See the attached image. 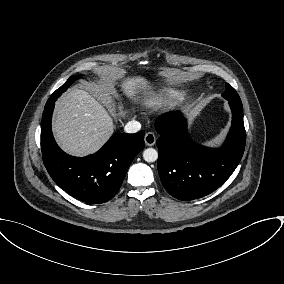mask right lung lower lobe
I'll use <instances>...</instances> for the list:
<instances>
[{"label": "right lung lower lobe", "instance_id": "98d812e1", "mask_svg": "<svg viewBox=\"0 0 284 284\" xmlns=\"http://www.w3.org/2000/svg\"><path fill=\"white\" fill-rule=\"evenodd\" d=\"M57 98L44 108L41 149L44 165L55 183L74 198L87 203H104L115 196L135 156L144 149V131L114 134L95 154L73 157L56 144L51 118Z\"/></svg>", "mask_w": 284, "mask_h": 284}]
</instances>
